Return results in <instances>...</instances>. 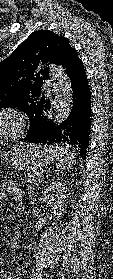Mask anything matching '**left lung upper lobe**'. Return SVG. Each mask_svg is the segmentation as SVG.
<instances>
[{
    "label": "left lung upper lobe",
    "mask_w": 113,
    "mask_h": 279,
    "mask_svg": "<svg viewBox=\"0 0 113 279\" xmlns=\"http://www.w3.org/2000/svg\"><path fill=\"white\" fill-rule=\"evenodd\" d=\"M73 50L65 37L52 31L30 34L0 62V108L13 107L26 113L31 127L36 107L44 101L43 81L49 79V70L44 65L48 62L63 65Z\"/></svg>",
    "instance_id": "left-lung-upper-lobe-1"
}]
</instances>
